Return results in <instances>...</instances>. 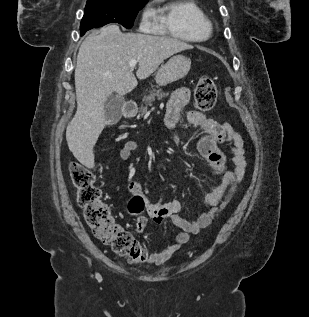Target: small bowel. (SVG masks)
<instances>
[{"label":"small bowel","instance_id":"c3829d8e","mask_svg":"<svg viewBox=\"0 0 309 317\" xmlns=\"http://www.w3.org/2000/svg\"><path fill=\"white\" fill-rule=\"evenodd\" d=\"M190 92L186 88L177 89L170 97L165 114V125L173 129L180 119V110L189 101ZM189 125L199 129L202 133L197 141L198 152L210 165L213 175L220 178V183L205 197V205L208 208L206 213L201 214L196 220L188 221L179 216L181 209L180 201L174 199L165 204L148 203L146 214L137 217V227L142 232L148 222V218L156 223H162L169 219L181 231L177 234L173 244L164 247L158 253H151L147 261L151 264L160 265L166 262L171 256L185 245L192 234L199 233L202 229L211 224L219 212V205L233 195L238 184L243 178L246 161L244 142L242 137L229 123H220L197 111H189L186 114ZM173 141L177 144L178 137L173 134ZM227 144L232 156L234 171L227 170V156L221 150L220 145ZM137 148V142L129 141L121 150V157L124 160L130 158L132 152ZM126 185L133 194H140V184L127 178Z\"/></svg>","mask_w":309,"mask_h":317}]
</instances>
